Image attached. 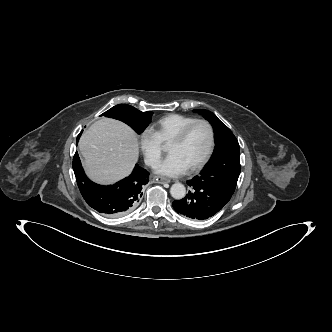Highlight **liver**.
Returning <instances> with one entry per match:
<instances>
[{
  "label": "liver",
  "mask_w": 332,
  "mask_h": 332,
  "mask_svg": "<svg viewBox=\"0 0 332 332\" xmlns=\"http://www.w3.org/2000/svg\"><path fill=\"white\" fill-rule=\"evenodd\" d=\"M79 150L87 176L96 183L111 184L130 174L138 160L139 145L129 126L102 118L83 133Z\"/></svg>",
  "instance_id": "6515ba94"
}]
</instances>
